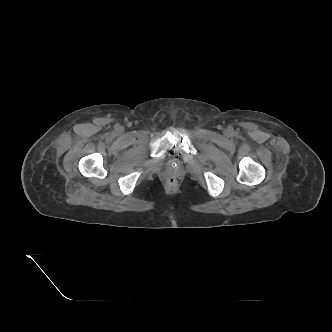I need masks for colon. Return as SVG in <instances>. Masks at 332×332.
Wrapping results in <instances>:
<instances>
[{"label":"colon","mask_w":332,"mask_h":332,"mask_svg":"<svg viewBox=\"0 0 332 332\" xmlns=\"http://www.w3.org/2000/svg\"><path fill=\"white\" fill-rule=\"evenodd\" d=\"M166 183H167V186H168V187H171V188H172V187H175V186H176L177 181H176L175 178L170 177V178L167 179Z\"/></svg>","instance_id":"obj_1"}]
</instances>
